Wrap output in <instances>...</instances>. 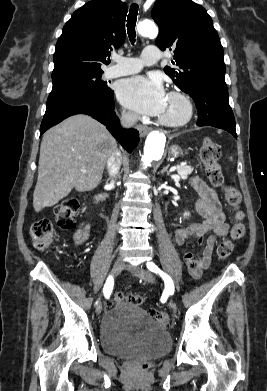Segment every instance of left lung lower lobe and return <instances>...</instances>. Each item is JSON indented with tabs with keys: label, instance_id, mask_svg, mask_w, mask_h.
I'll use <instances>...</instances> for the list:
<instances>
[{
	"label": "left lung lower lobe",
	"instance_id": "left-lung-lower-lobe-1",
	"mask_svg": "<svg viewBox=\"0 0 267 391\" xmlns=\"http://www.w3.org/2000/svg\"><path fill=\"white\" fill-rule=\"evenodd\" d=\"M188 94L193 98L198 109V126L221 128L237 137L234 115L228 102L227 87L202 85Z\"/></svg>",
	"mask_w": 267,
	"mask_h": 391
}]
</instances>
